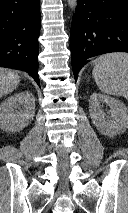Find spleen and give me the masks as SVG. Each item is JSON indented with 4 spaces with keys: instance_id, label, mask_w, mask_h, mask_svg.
<instances>
[{
    "instance_id": "1",
    "label": "spleen",
    "mask_w": 128,
    "mask_h": 213,
    "mask_svg": "<svg viewBox=\"0 0 128 213\" xmlns=\"http://www.w3.org/2000/svg\"><path fill=\"white\" fill-rule=\"evenodd\" d=\"M92 75L99 89L128 100V53H109L94 61Z\"/></svg>"
}]
</instances>
